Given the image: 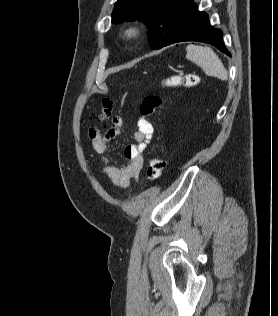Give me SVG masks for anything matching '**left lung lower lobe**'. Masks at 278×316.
Masks as SVG:
<instances>
[{
  "mask_svg": "<svg viewBox=\"0 0 278 316\" xmlns=\"http://www.w3.org/2000/svg\"><path fill=\"white\" fill-rule=\"evenodd\" d=\"M183 41H199L212 44L221 52L231 56L223 43L222 31L210 26L208 15L198 11L193 0L190 1L173 35L164 46Z\"/></svg>",
  "mask_w": 278,
  "mask_h": 316,
  "instance_id": "left-lung-lower-lobe-1",
  "label": "left lung lower lobe"
}]
</instances>
